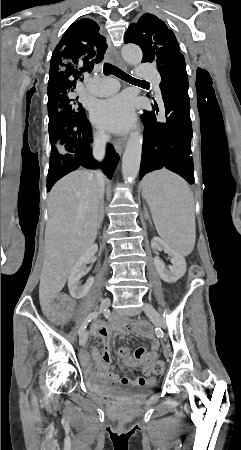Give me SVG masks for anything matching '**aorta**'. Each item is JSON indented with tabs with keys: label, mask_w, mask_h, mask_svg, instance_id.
Masks as SVG:
<instances>
[{
	"label": "aorta",
	"mask_w": 241,
	"mask_h": 450,
	"mask_svg": "<svg viewBox=\"0 0 241 450\" xmlns=\"http://www.w3.org/2000/svg\"><path fill=\"white\" fill-rule=\"evenodd\" d=\"M124 60L130 65H137L142 60L140 47L134 44H127L122 48ZM143 136L139 131L130 135L126 149L122 158V175L125 182H132L137 177L142 155Z\"/></svg>",
	"instance_id": "obj_1"
}]
</instances>
